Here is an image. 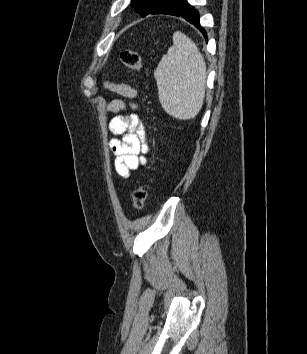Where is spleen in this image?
I'll return each instance as SVG.
<instances>
[{
	"label": "spleen",
	"instance_id": "3e777b00",
	"mask_svg": "<svg viewBox=\"0 0 307 354\" xmlns=\"http://www.w3.org/2000/svg\"><path fill=\"white\" fill-rule=\"evenodd\" d=\"M154 77L160 103L167 114L180 119L194 118L205 97L206 64L196 44L181 32L163 55Z\"/></svg>",
	"mask_w": 307,
	"mask_h": 354
}]
</instances>
